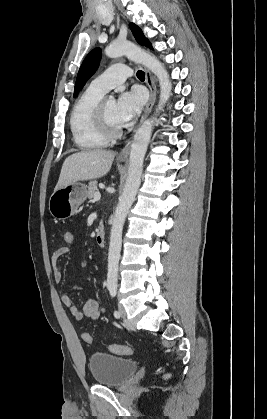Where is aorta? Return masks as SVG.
I'll return each instance as SVG.
<instances>
[{
    "label": "aorta",
    "mask_w": 267,
    "mask_h": 419,
    "mask_svg": "<svg viewBox=\"0 0 267 419\" xmlns=\"http://www.w3.org/2000/svg\"><path fill=\"white\" fill-rule=\"evenodd\" d=\"M105 53L110 58L125 55L129 59L147 67L158 78L160 85V100L156 112L161 111L168 101L172 90L169 74L163 64L155 56L128 41L112 43L105 49ZM109 99L112 101L113 97L110 96ZM154 124L155 122L153 119L144 121L136 131L131 144L128 175L123 193L115 210L111 227L108 253V288L117 286L123 225L141 183L144 156L152 135Z\"/></svg>",
    "instance_id": "obj_1"
}]
</instances>
